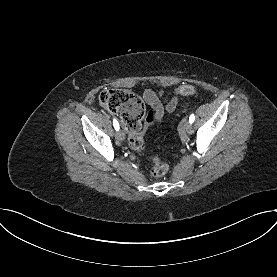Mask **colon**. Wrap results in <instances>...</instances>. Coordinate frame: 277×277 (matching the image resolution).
Wrapping results in <instances>:
<instances>
[{"label": "colon", "instance_id": "1", "mask_svg": "<svg viewBox=\"0 0 277 277\" xmlns=\"http://www.w3.org/2000/svg\"><path fill=\"white\" fill-rule=\"evenodd\" d=\"M177 93L189 96L196 93V88L192 85H182L177 89ZM100 103L110 112L120 115L123 124L129 131V145L138 152L145 149V141L142 136V120L153 124L157 120V115L150 111L147 113L142 99L134 93L118 88L104 89L99 94ZM168 165L158 158H153V164L149 170L151 177L160 178L168 172Z\"/></svg>", "mask_w": 277, "mask_h": 277}]
</instances>
